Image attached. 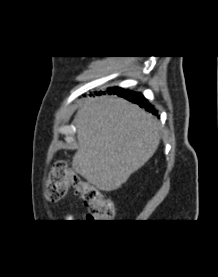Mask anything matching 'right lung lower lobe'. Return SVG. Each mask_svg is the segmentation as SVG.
Returning <instances> with one entry per match:
<instances>
[{"label":"right lung lower lobe","instance_id":"1","mask_svg":"<svg viewBox=\"0 0 218 277\" xmlns=\"http://www.w3.org/2000/svg\"><path fill=\"white\" fill-rule=\"evenodd\" d=\"M109 94H117L120 97L126 98L127 100L138 104L140 107L145 108L146 111L151 112L152 114H157L156 111L149 105L148 101L143 97L140 93H135L132 91H122L119 90H112L108 91Z\"/></svg>","mask_w":218,"mask_h":277}]
</instances>
